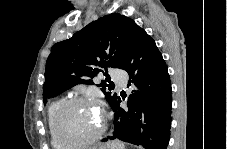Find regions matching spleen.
I'll return each mask as SVG.
<instances>
[{"mask_svg": "<svg viewBox=\"0 0 227 149\" xmlns=\"http://www.w3.org/2000/svg\"><path fill=\"white\" fill-rule=\"evenodd\" d=\"M110 148L111 149H125V146L121 142H112V143H110Z\"/></svg>", "mask_w": 227, "mask_h": 149, "instance_id": "obj_1", "label": "spleen"}]
</instances>
